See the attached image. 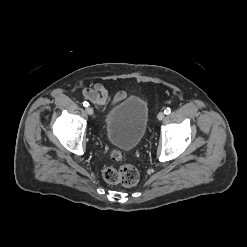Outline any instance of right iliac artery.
I'll return each instance as SVG.
<instances>
[{
    "label": "right iliac artery",
    "instance_id": "82829eb1",
    "mask_svg": "<svg viewBox=\"0 0 247 247\" xmlns=\"http://www.w3.org/2000/svg\"><path fill=\"white\" fill-rule=\"evenodd\" d=\"M82 104H83L84 107H88L89 106V103L87 101H84Z\"/></svg>",
    "mask_w": 247,
    "mask_h": 247
}]
</instances>
